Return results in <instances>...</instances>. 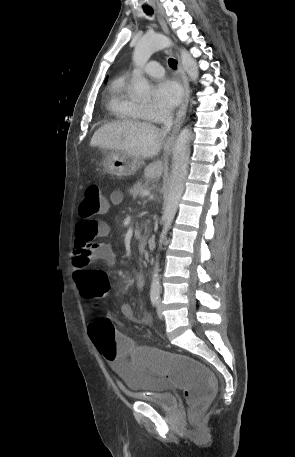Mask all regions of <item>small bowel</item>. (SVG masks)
<instances>
[{
    "mask_svg": "<svg viewBox=\"0 0 295 457\" xmlns=\"http://www.w3.org/2000/svg\"><path fill=\"white\" fill-rule=\"evenodd\" d=\"M110 204L118 206L123 201L121 191H113L110 194ZM110 233L109 225L103 220L89 219L77 223L75 230V250L76 254L72 259V278L77 288L82 294L83 288L87 286V271L89 267L99 261L105 262L107 265H115L117 258L109 243L97 241L96 238L107 237ZM86 249L84 256L85 264L78 265L77 262L81 258V254L77 251ZM136 285L139 289L144 287L142 276L136 275ZM83 296V295H82ZM121 313L127 319L134 318L133 308L130 304L124 303L121 305ZM91 338V337H90ZM92 340V339H91ZM132 341V339H129ZM93 342V341H92ZM112 362V360H110ZM113 363V362H112Z\"/></svg>",
    "mask_w": 295,
    "mask_h": 457,
    "instance_id": "1",
    "label": "small bowel"
}]
</instances>
